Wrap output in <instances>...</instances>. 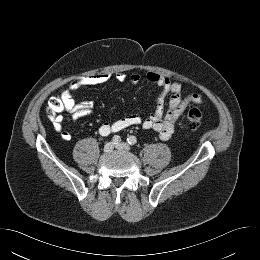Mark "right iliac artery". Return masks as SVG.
I'll return each mask as SVG.
<instances>
[{
  "mask_svg": "<svg viewBox=\"0 0 260 260\" xmlns=\"http://www.w3.org/2000/svg\"><path fill=\"white\" fill-rule=\"evenodd\" d=\"M112 141L114 144H118L121 141V138L118 135H114Z\"/></svg>",
  "mask_w": 260,
  "mask_h": 260,
  "instance_id": "1",
  "label": "right iliac artery"
}]
</instances>
